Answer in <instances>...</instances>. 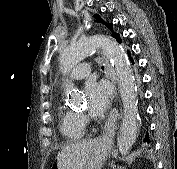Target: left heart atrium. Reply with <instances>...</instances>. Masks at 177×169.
Listing matches in <instances>:
<instances>
[{
    "label": "left heart atrium",
    "instance_id": "obj_1",
    "mask_svg": "<svg viewBox=\"0 0 177 169\" xmlns=\"http://www.w3.org/2000/svg\"><path fill=\"white\" fill-rule=\"evenodd\" d=\"M88 112L93 117L102 115L110 104L111 90L107 83L91 80L85 85Z\"/></svg>",
    "mask_w": 177,
    "mask_h": 169
}]
</instances>
